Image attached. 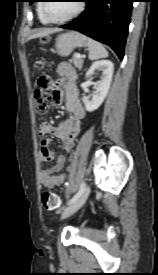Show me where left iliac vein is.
Wrapping results in <instances>:
<instances>
[{"label":"left iliac vein","instance_id":"obj_1","mask_svg":"<svg viewBox=\"0 0 158 275\" xmlns=\"http://www.w3.org/2000/svg\"><path fill=\"white\" fill-rule=\"evenodd\" d=\"M89 192V186H86L81 196L64 210L62 217H69L70 215L74 214L77 210H79L87 200Z\"/></svg>","mask_w":158,"mask_h":275}]
</instances>
